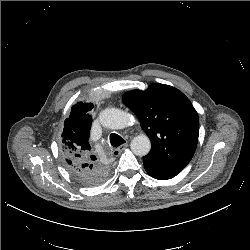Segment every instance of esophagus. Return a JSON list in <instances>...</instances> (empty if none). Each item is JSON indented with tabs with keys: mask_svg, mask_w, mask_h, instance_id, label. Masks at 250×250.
Wrapping results in <instances>:
<instances>
[{
	"mask_svg": "<svg viewBox=\"0 0 250 250\" xmlns=\"http://www.w3.org/2000/svg\"><path fill=\"white\" fill-rule=\"evenodd\" d=\"M127 146H128L127 143L122 144L121 146H119V147L115 150V152H116V153H120V152H121L122 150H124Z\"/></svg>",
	"mask_w": 250,
	"mask_h": 250,
	"instance_id": "1",
	"label": "esophagus"
}]
</instances>
